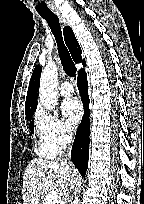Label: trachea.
<instances>
[{
  "label": "trachea",
  "mask_w": 144,
  "mask_h": 204,
  "mask_svg": "<svg viewBox=\"0 0 144 204\" xmlns=\"http://www.w3.org/2000/svg\"><path fill=\"white\" fill-rule=\"evenodd\" d=\"M40 16L47 21L57 41L59 57L61 60V64L63 66V70L69 77H76V67L70 56L68 49L64 45V42L62 39V33H61V26L57 15L54 14L53 12H48V13H40Z\"/></svg>",
  "instance_id": "trachea-1"
}]
</instances>
